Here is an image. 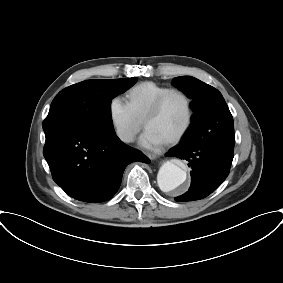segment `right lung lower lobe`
<instances>
[{
    "instance_id": "right-lung-lower-lobe-1",
    "label": "right lung lower lobe",
    "mask_w": 283,
    "mask_h": 283,
    "mask_svg": "<svg viewBox=\"0 0 283 283\" xmlns=\"http://www.w3.org/2000/svg\"><path fill=\"white\" fill-rule=\"evenodd\" d=\"M43 155L54 181L72 198L88 203L112 198L129 163L149 162L142 152L124 144L114 129H61L46 136Z\"/></svg>"
}]
</instances>
